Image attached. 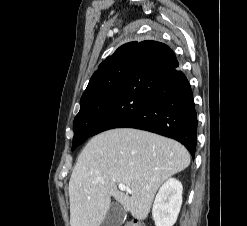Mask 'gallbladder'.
Listing matches in <instances>:
<instances>
[{
    "label": "gallbladder",
    "mask_w": 247,
    "mask_h": 226,
    "mask_svg": "<svg viewBox=\"0 0 247 226\" xmlns=\"http://www.w3.org/2000/svg\"><path fill=\"white\" fill-rule=\"evenodd\" d=\"M124 217V207L118 202H113L110 205L101 226H121L124 222Z\"/></svg>",
    "instance_id": "bac80fb5"
}]
</instances>
